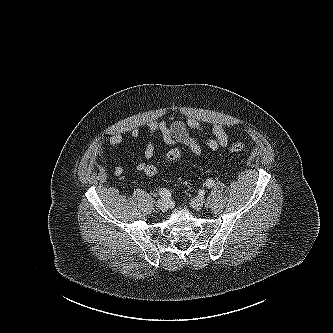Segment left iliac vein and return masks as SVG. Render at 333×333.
Segmentation results:
<instances>
[{
    "mask_svg": "<svg viewBox=\"0 0 333 333\" xmlns=\"http://www.w3.org/2000/svg\"><path fill=\"white\" fill-rule=\"evenodd\" d=\"M204 203L205 199L203 197H195L190 202L191 206L197 210L201 209Z\"/></svg>",
    "mask_w": 333,
    "mask_h": 333,
    "instance_id": "1",
    "label": "left iliac vein"
}]
</instances>
